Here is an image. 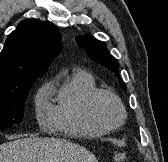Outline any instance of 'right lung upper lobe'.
I'll return each mask as SVG.
<instances>
[{
    "label": "right lung upper lobe",
    "mask_w": 168,
    "mask_h": 162,
    "mask_svg": "<svg viewBox=\"0 0 168 162\" xmlns=\"http://www.w3.org/2000/svg\"><path fill=\"white\" fill-rule=\"evenodd\" d=\"M61 49L60 33L51 22L32 19L20 22L0 53V88L36 80Z\"/></svg>",
    "instance_id": "right-lung-upper-lobe-1"
}]
</instances>
